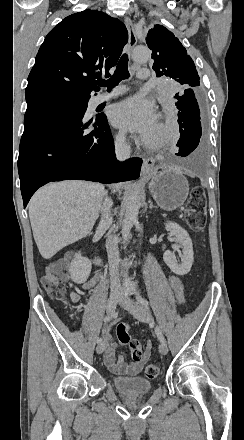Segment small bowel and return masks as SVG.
<instances>
[{
	"label": "small bowel",
	"instance_id": "c3829d8e",
	"mask_svg": "<svg viewBox=\"0 0 244 440\" xmlns=\"http://www.w3.org/2000/svg\"><path fill=\"white\" fill-rule=\"evenodd\" d=\"M98 281V276L95 275L91 279L83 283V288L88 289L93 287ZM169 283L174 293L175 299L179 304L186 303V296L184 285L176 275L169 277ZM72 300L78 302L80 300L79 293L72 294ZM116 344L113 341H108L104 351V364L115 375L122 377H135L139 374L144 364L151 355V344L149 343L144 354L142 363H127L122 355L117 359L115 357Z\"/></svg>",
	"mask_w": 244,
	"mask_h": 440
}]
</instances>
